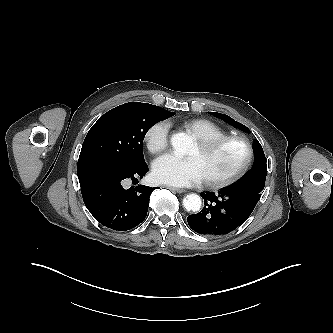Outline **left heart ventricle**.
<instances>
[{
  "mask_svg": "<svg viewBox=\"0 0 333 333\" xmlns=\"http://www.w3.org/2000/svg\"><path fill=\"white\" fill-rule=\"evenodd\" d=\"M189 157L197 160L204 179H218L230 174L239 166L243 151L238 144L230 143L204 153L196 145L189 153Z\"/></svg>",
  "mask_w": 333,
  "mask_h": 333,
  "instance_id": "left-heart-ventricle-1",
  "label": "left heart ventricle"
}]
</instances>
